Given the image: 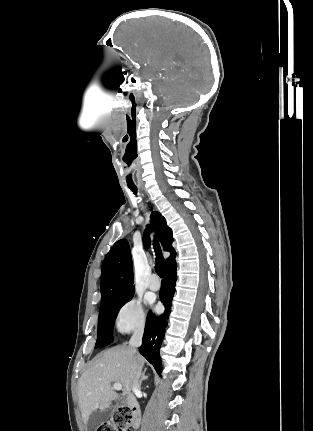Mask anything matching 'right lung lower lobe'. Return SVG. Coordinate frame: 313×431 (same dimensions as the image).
<instances>
[{"label":"right lung lower lobe","instance_id":"1","mask_svg":"<svg viewBox=\"0 0 313 431\" xmlns=\"http://www.w3.org/2000/svg\"><path fill=\"white\" fill-rule=\"evenodd\" d=\"M176 261L173 256L165 267L164 279L162 280L160 299L165 306V311L160 316H155L149 312L145 332L143 336L142 346L139 348L140 353L154 366L155 370L161 373V358L159 348L162 343L167 320L171 311L172 298L175 292Z\"/></svg>","mask_w":313,"mask_h":431}]
</instances>
